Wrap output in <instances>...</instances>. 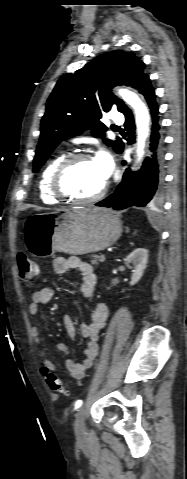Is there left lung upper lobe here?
Returning <instances> with one entry per match:
<instances>
[{
  "label": "left lung upper lobe",
  "instance_id": "obj_1",
  "mask_svg": "<svg viewBox=\"0 0 187 479\" xmlns=\"http://www.w3.org/2000/svg\"><path fill=\"white\" fill-rule=\"evenodd\" d=\"M144 69L145 64L133 52L115 50L96 57L75 73L62 76L47 101L33 172L39 170L64 139L88 129L104 138L107 127L99 120L102 112L113 106L122 113L127 109L111 89L122 84L139 89L148 77ZM103 141L116 152L122 144L120 139Z\"/></svg>",
  "mask_w": 187,
  "mask_h": 479
}]
</instances>
